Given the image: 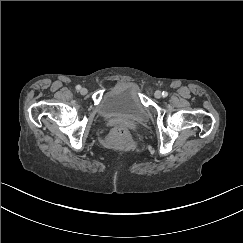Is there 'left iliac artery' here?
I'll use <instances>...</instances> for the list:
<instances>
[{"label":"left iliac artery","mask_w":243,"mask_h":243,"mask_svg":"<svg viewBox=\"0 0 243 243\" xmlns=\"http://www.w3.org/2000/svg\"><path fill=\"white\" fill-rule=\"evenodd\" d=\"M162 95H163V97H166V96L168 95V92L164 91V92L162 93Z\"/></svg>","instance_id":"left-iliac-artery-1"}]
</instances>
